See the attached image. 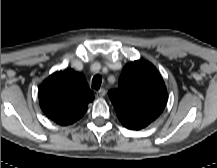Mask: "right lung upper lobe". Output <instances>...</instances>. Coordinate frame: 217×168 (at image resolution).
<instances>
[{"mask_svg":"<svg viewBox=\"0 0 217 168\" xmlns=\"http://www.w3.org/2000/svg\"><path fill=\"white\" fill-rule=\"evenodd\" d=\"M92 101V91L84 76L72 69L53 73L39 90L41 109L48 118L63 126L79 120Z\"/></svg>","mask_w":217,"mask_h":168,"instance_id":"obj_1","label":"right lung upper lobe"}]
</instances>
